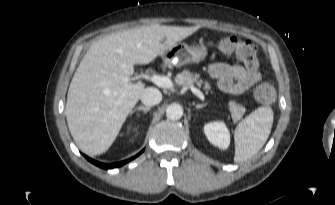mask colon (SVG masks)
I'll return each mask as SVG.
<instances>
[{
	"label": "colon",
	"instance_id": "1",
	"mask_svg": "<svg viewBox=\"0 0 335 205\" xmlns=\"http://www.w3.org/2000/svg\"><path fill=\"white\" fill-rule=\"evenodd\" d=\"M218 51L224 54H235L237 58L249 69L258 67V49L250 41L240 39L237 36H227L215 43ZM256 99L264 104L272 103L275 99L274 87L265 82L255 89Z\"/></svg>",
	"mask_w": 335,
	"mask_h": 205
}]
</instances>
